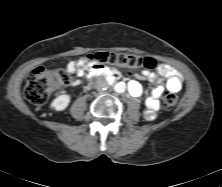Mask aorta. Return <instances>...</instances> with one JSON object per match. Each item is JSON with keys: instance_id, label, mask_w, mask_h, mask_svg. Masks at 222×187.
<instances>
[{"instance_id": "obj_1", "label": "aorta", "mask_w": 222, "mask_h": 187, "mask_svg": "<svg viewBox=\"0 0 222 187\" xmlns=\"http://www.w3.org/2000/svg\"><path fill=\"white\" fill-rule=\"evenodd\" d=\"M114 90H115L117 93H123V92L126 90V85H125V83L119 82V83L115 84Z\"/></svg>"}]
</instances>
